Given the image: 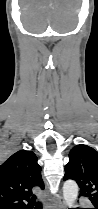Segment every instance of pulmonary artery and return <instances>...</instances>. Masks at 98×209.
I'll list each match as a JSON object with an SVG mask.
<instances>
[{
	"mask_svg": "<svg viewBox=\"0 0 98 209\" xmlns=\"http://www.w3.org/2000/svg\"><path fill=\"white\" fill-rule=\"evenodd\" d=\"M81 202H82V204H90L89 200H87V199H83V200H81Z\"/></svg>",
	"mask_w": 98,
	"mask_h": 209,
	"instance_id": "e3ab8cb5",
	"label": "pulmonary artery"
}]
</instances>
